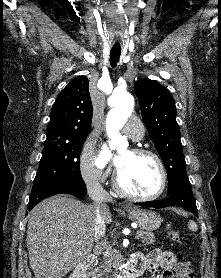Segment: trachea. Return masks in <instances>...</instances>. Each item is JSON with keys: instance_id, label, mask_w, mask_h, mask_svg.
Masks as SVG:
<instances>
[{"instance_id": "1", "label": "trachea", "mask_w": 221, "mask_h": 278, "mask_svg": "<svg viewBox=\"0 0 221 278\" xmlns=\"http://www.w3.org/2000/svg\"><path fill=\"white\" fill-rule=\"evenodd\" d=\"M121 55V48H114L110 50V64L113 68L117 66Z\"/></svg>"}]
</instances>
